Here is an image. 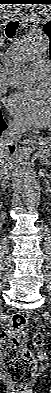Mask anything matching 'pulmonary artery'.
I'll return each instance as SVG.
<instances>
[{
	"label": "pulmonary artery",
	"instance_id": "1",
	"mask_svg": "<svg viewBox=\"0 0 51 393\" xmlns=\"http://www.w3.org/2000/svg\"><path fill=\"white\" fill-rule=\"evenodd\" d=\"M48 70L49 63L47 61H35L33 71L14 75L9 79V83L19 85L31 84L35 80L43 77Z\"/></svg>",
	"mask_w": 51,
	"mask_h": 393
}]
</instances>
